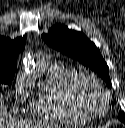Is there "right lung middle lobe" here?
Segmentation results:
<instances>
[{"label":"right lung middle lobe","instance_id":"right-lung-middle-lobe-1","mask_svg":"<svg viewBox=\"0 0 125 128\" xmlns=\"http://www.w3.org/2000/svg\"><path fill=\"white\" fill-rule=\"evenodd\" d=\"M16 68L0 67V83L9 84L14 78Z\"/></svg>","mask_w":125,"mask_h":128}]
</instances>
